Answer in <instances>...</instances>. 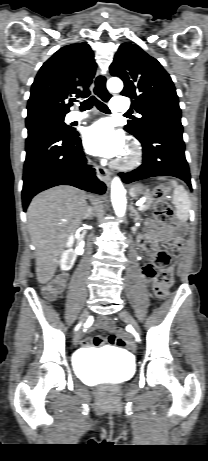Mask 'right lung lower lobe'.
I'll return each instance as SVG.
<instances>
[{
  "label": "right lung lower lobe",
  "instance_id": "98d812e1",
  "mask_svg": "<svg viewBox=\"0 0 208 461\" xmlns=\"http://www.w3.org/2000/svg\"><path fill=\"white\" fill-rule=\"evenodd\" d=\"M22 202L26 211L37 193L57 185L103 194L106 186L87 165L76 131L47 129L26 139Z\"/></svg>",
  "mask_w": 208,
  "mask_h": 461
}]
</instances>
